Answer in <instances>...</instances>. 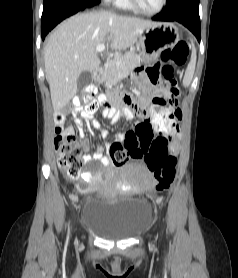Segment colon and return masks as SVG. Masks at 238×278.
I'll return each mask as SVG.
<instances>
[{
    "mask_svg": "<svg viewBox=\"0 0 238 278\" xmlns=\"http://www.w3.org/2000/svg\"><path fill=\"white\" fill-rule=\"evenodd\" d=\"M189 52L185 41H179L174 46L164 50L161 54L163 65L162 81L157 91V97L151 99V119L147 125L140 127H154V132L159 135L170 133L175 124V106L179 89L177 87V70L182 66ZM124 100H132L125 96ZM75 108H84L88 112H95V88L86 86L80 94L72 100ZM152 137H140L139 144L133 141L127 143H113L109 149L112 163L116 166L124 164L128 159L143 158L156 179V189L166 190L175 178L177 159L172 154L168 144H150ZM55 149L58 153L59 167L71 178L81 175L82 154L84 148L74 134L57 133Z\"/></svg>",
    "mask_w": 238,
    "mask_h": 278,
    "instance_id": "obj_1",
    "label": "colon"
}]
</instances>
